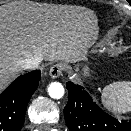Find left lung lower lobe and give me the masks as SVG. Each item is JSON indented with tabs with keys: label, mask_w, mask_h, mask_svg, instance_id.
<instances>
[{
	"label": "left lung lower lobe",
	"mask_w": 131,
	"mask_h": 131,
	"mask_svg": "<svg viewBox=\"0 0 131 131\" xmlns=\"http://www.w3.org/2000/svg\"><path fill=\"white\" fill-rule=\"evenodd\" d=\"M67 88L64 115L70 131H131V119L119 121L103 111L83 86L68 82Z\"/></svg>",
	"instance_id": "0a47b994"
}]
</instances>
